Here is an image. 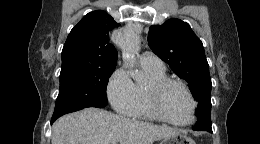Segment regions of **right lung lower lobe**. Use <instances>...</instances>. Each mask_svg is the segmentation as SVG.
<instances>
[{"mask_svg": "<svg viewBox=\"0 0 260 144\" xmlns=\"http://www.w3.org/2000/svg\"><path fill=\"white\" fill-rule=\"evenodd\" d=\"M56 119H51V123H53Z\"/></svg>", "mask_w": 260, "mask_h": 144, "instance_id": "1", "label": "right lung lower lobe"}]
</instances>
